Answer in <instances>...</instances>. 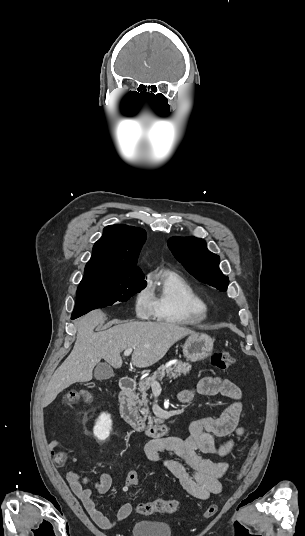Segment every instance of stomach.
<instances>
[{"instance_id":"obj_1","label":"stomach","mask_w":305,"mask_h":536,"mask_svg":"<svg viewBox=\"0 0 305 536\" xmlns=\"http://www.w3.org/2000/svg\"><path fill=\"white\" fill-rule=\"evenodd\" d=\"M214 340L207 334H192L183 346V354L187 360L198 362L206 360L213 352Z\"/></svg>"}]
</instances>
